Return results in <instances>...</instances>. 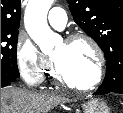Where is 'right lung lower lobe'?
Instances as JSON below:
<instances>
[{"instance_id":"98d812e1","label":"right lung lower lobe","mask_w":123,"mask_h":113,"mask_svg":"<svg viewBox=\"0 0 123 113\" xmlns=\"http://www.w3.org/2000/svg\"><path fill=\"white\" fill-rule=\"evenodd\" d=\"M10 84H11V82L1 81V87H5V86H8Z\"/></svg>"}]
</instances>
